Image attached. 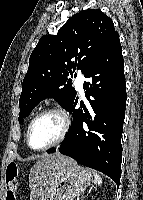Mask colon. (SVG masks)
Here are the masks:
<instances>
[{
	"instance_id": "5ec220e1",
	"label": "colon",
	"mask_w": 143,
	"mask_h": 200,
	"mask_svg": "<svg viewBox=\"0 0 143 200\" xmlns=\"http://www.w3.org/2000/svg\"><path fill=\"white\" fill-rule=\"evenodd\" d=\"M5 187L7 191V200H15V193L18 188V167L14 163L7 166Z\"/></svg>"
}]
</instances>
